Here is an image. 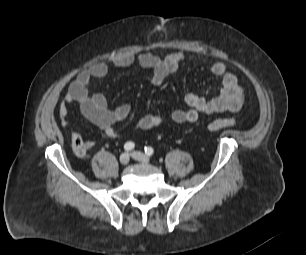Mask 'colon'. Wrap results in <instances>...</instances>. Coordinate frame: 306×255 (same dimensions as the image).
Listing matches in <instances>:
<instances>
[{"mask_svg": "<svg viewBox=\"0 0 306 255\" xmlns=\"http://www.w3.org/2000/svg\"><path fill=\"white\" fill-rule=\"evenodd\" d=\"M235 124H236V121L233 118H220V119H216L210 122L206 126V129L208 131H219L222 129L231 128L235 126ZM71 145H72V150L76 156L78 157L85 156L88 150V145L86 141L83 140V138L80 135L78 134L72 135Z\"/></svg>", "mask_w": 306, "mask_h": 255, "instance_id": "1", "label": "colon"}]
</instances>
